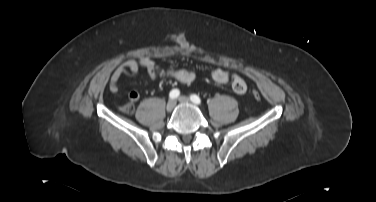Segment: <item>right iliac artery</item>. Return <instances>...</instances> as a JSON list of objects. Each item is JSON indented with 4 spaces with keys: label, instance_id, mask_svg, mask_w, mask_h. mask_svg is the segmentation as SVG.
Instances as JSON below:
<instances>
[{
    "label": "right iliac artery",
    "instance_id": "obj_1",
    "mask_svg": "<svg viewBox=\"0 0 376 202\" xmlns=\"http://www.w3.org/2000/svg\"><path fill=\"white\" fill-rule=\"evenodd\" d=\"M180 95V91L178 89H173L169 93V97L171 99H176Z\"/></svg>",
    "mask_w": 376,
    "mask_h": 202
}]
</instances>
